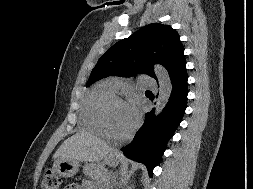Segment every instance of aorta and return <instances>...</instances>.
Listing matches in <instances>:
<instances>
[{
    "label": "aorta",
    "instance_id": "aorta-1",
    "mask_svg": "<svg viewBox=\"0 0 253 189\" xmlns=\"http://www.w3.org/2000/svg\"><path fill=\"white\" fill-rule=\"evenodd\" d=\"M155 74L159 81V96L156 100L155 115H158L166 106L172 91V82L168 71L161 65H155Z\"/></svg>",
    "mask_w": 253,
    "mask_h": 189
}]
</instances>
